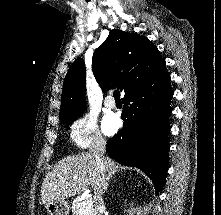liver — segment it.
I'll use <instances>...</instances> for the list:
<instances>
[{
	"mask_svg": "<svg viewBox=\"0 0 221 215\" xmlns=\"http://www.w3.org/2000/svg\"><path fill=\"white\" fill-rule=\"evenodd\" d=\"M105 169L109 174H115L117 165L106 158ZM97 177V162L91 151L65 157L46 175L41 187L42 203L46 205L65 200L85 191L89 186L94 188Z\"/></svg>",
	"mask_w": 221,
	"mask_h": 215,
	"instance_id": "6515ba94",
	"label": "liver"
}]
</instances>
